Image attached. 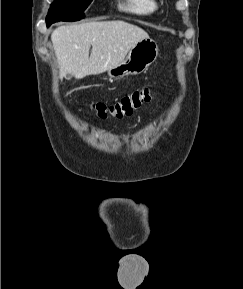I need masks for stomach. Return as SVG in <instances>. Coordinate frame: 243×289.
I'll list each match as a JSON object with an SVG mask.
<instances>
[{
	"instance_id": "obj_1",
	"label": "stomach",
	"mask_w": 243,
	"mask_h": 289,
	"mask_svg": "<svg viewBox=\"0 0 243 289\" xmlns=\"http://www.w3.org/2000/svg\"><path fill=\"white\" fill-rule=\"evenodd\" d=\"M158 57V46L150 38L138 41L129 51L127 57L116 67L107 70L111 78L137 75L144 72Z\"/></svg>"
}]
</instances>
